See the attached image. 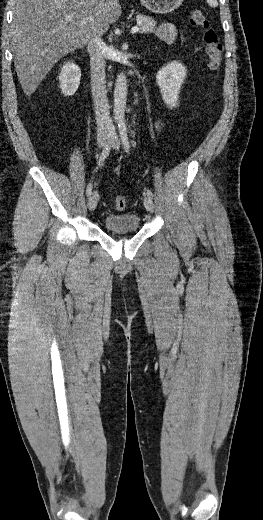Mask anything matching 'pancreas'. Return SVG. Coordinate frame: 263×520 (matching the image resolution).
Returning <instances> with one entry per match:
<instances>
[{"label": "pancreas", "mask_w": 263, "mask_h": 520, "mask_svg": "<svg viewBox=\"0 0 263 520\" xmlns=\"http://www.w3.org/2000/svg\"><path fill=\"white\" fill-rule=\"evenodd\" d=\"M136 20L141 22L138 24L139 32L141 33L152 32L155 29L156 22L150 16L139 14L136 16Z\"/></svg>", "instance_id": "cf45deb5"}]
</instances>
